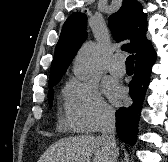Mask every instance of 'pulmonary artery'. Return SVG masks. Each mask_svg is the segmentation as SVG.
<instances>
[{"label":"pulmonary artery","mask_w":168,"mask_h":162,"mask_svg":"<svg viewBox=\"0 0 168 162\" xmlns=\"http://www.w3.org/2000/svg\"><path fill=\"white\" fill-rule=\"evenodd\" d=\"M107 68L108 71L114 76L121 77L125 74V66L123 60L118 54H115L111 57Z\"/></svg>","instance_id":"pulmonary-artery-1"}]
</instances>
